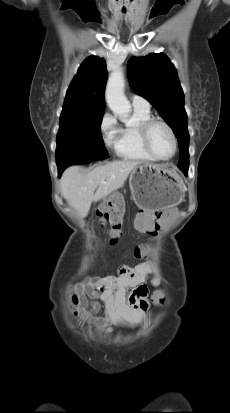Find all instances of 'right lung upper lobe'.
<instances>
[{
    "instance_id": "obj_1",
    "label": "right lung upper lobe",
    "mask_w": 230,
    "mask_h": 413,
    "mask_svg": "<svg viewBox=\"0 0 230 413\" xmlns=\"http://www.w3.org/2000/svg\"><path fill=\"white\" fill-rule=\"evenodd\" d=\"M106 80L105 60L97 56L87 58L67 90L60 121L103 117Z\"/></svg>"
}]
</instances>
